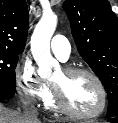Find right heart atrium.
I'll return each mask as SVG.
<instances>
[{"instance_id":"obj_1","label":"right heart atrium","mask_w":118,"mask_h":123,"mask_svg":"<svg viewBox=\"0 0 118 123\" xmlns=\"http://www.w3.org/2000/svg\"><path fill=\"white\" fill-rule=\"evenodd\" d=\"M15 83L21 98L28 103L44 100L49 93L48 83L42 79L29 60H22L15 71Z\"/></svg>"}]
</instances>
